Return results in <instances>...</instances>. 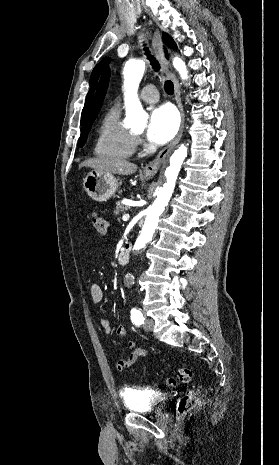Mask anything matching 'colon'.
<instances>
[{
    "label": "colon",
    "instance_id": "1",
    "mask_svg": "<svg viewBox=\"0 0 279 465\" xmlns=\"http://www.w3.org/2000/svg\"><path fill=\"white\" fill-rule=\"evenodd\" d=\"M92 225L99 236H105L107 232V222L106 220L97 212L92 213L91 215ZM192 378V371L188 368H180L178 370V379L181 382L188 383ZM166 384L169 387H175L177 381L173 377L166 379ZM198 404V398L194 391L187 392L178 403V413L180 415H185L191 410H193Z\"/></svg>",
    "mask_w": 279,
    "mask_h": 465
}]
</instances>
